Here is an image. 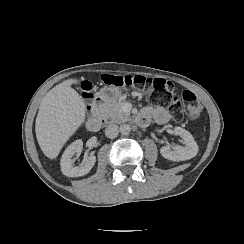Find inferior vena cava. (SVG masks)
Masks as SVG:
<instances>
[{
	"mask_svg": "<svg viewBox=\"0 0 244 244\" xmlns=\"http://www.w3.org/2000/svg\"><path fill=\"white\" fill-rule=\"evenodd\" d=\"M119 133V127L116 124H111L106 127L105 134L109 138H116Z\"/></svg>",
	"mask_w": 244,
	"mask_h": 244,
	"instance_id": "1",
	"label": "inferior vena cava"
}]
</instances>
